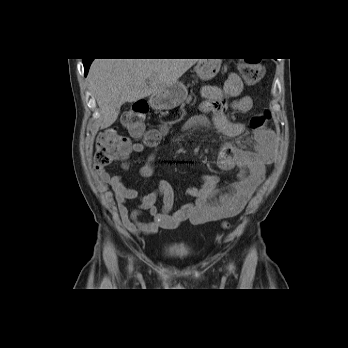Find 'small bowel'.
<instances>
[{"label": "small bowel", "instance_id": "small-bowel-1", "mask_svg": "<svg viewBox=\"0 0 348 348\" xmlns=\"http://www.w3.org/2000/svg\"><path fill=\"white\" fill-rule=\"evenodd\" d=\"M242 91L243 83L235 73L229 74L222 86L206 85L202 88L204 101L201 103V111L212 115L215 128L226 137H237L245 131V123L231 121L226 115L228 110L238 113L251 111L252 98L243 95ZM206 124L204 116H194L186 122L184 130L202 128ZM275 139L274 132L256 129L251 149L223 145L218 164L226 171L237 170V182L229 190L219 194L216 190L217 177L205 176L201 185L191 186L187 191L193 202L174 212H171L174 192L169 183L163 181L155 191L140 195L135 189L127 186L121 176L111 175L105 167L97 166L96 172L102 182L111 186L124 227L133 235H151L161 228H175L185 220L200 225L239 214L265 178L267 166L274 158ZM150 146L154 151L149 154L145 165L139 170L141 177H148L154 173L158 145L137 142L131 146L130 152L134 153L143 152ZM121 165L127 167L128 163L122 160ZM133 200H137L138 204L130 211L128 203ZM159 201H161L160 206ZM143 215L151 217L152 220L141 221L140 217Z\"/></svg>", "mask_w": 348, "mask_h": 348}]
</instances>
